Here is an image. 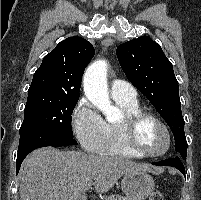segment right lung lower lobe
Masks as SVG:
<instances>
[{"label": "right lung lower lobe", "mask_w": 201, "mask_h": 200, "mask_svg": "<svg viewBox=\"0 0 201 200\" xmlns=\"http://www.w3.org/2000/svg\"><path fill=\"white\" fill-rule=\"evenodd\" d=\"M71 144H77L73 137L63 136L47 130H30L20 133V142L16 160V174H18L24 158L31 151L45 146L59 147Z\"/></svg>", "instance_id": "1"}]
</instances>
